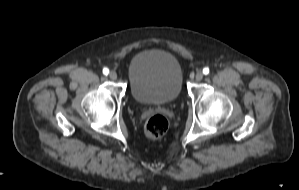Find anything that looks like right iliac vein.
<instances>
[{
  "instance_id": "obj_1",
  "label": "right iliac vein",
  "mask_w": 299,
  "mask_h": 190,
  "mask_svg": "<svg viewBox=\"0 0 299 190\" xmlns=\"http://www.w3.org/2000/svg\"><path fill=\"white\" fill-rule=\"evenodd\" d=\"M109 77L112 80H116L117 79V73L115 71H111L110 74H109Z\"/></svg>"
}]
</instances>
